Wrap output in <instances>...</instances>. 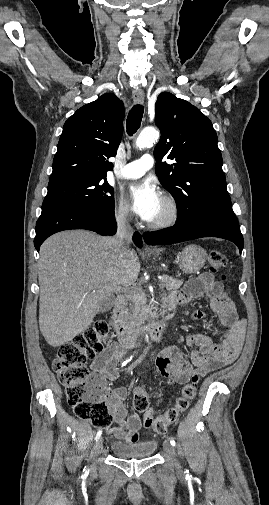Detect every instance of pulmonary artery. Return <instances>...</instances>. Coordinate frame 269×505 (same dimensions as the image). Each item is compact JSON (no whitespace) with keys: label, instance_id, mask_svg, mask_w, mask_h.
Listing matches in <instances>:
<instances>
[{"label":"pulmonary artery","instance_id":"pulmonary-artery-1","mask_svg":"<svg viewBox=\"0 0 269 505\" xmlns=\"http://www.w3.org/2000/svg\"><path fill=\"white\" fill-rule=\"evenodd\" d=\"M153 164V157L149 154H144L140 159L124 165L119 175L124 179L138 178L152 168Z\"/></svg>","mask_w":269,"mask_h":505}]
</instances>
